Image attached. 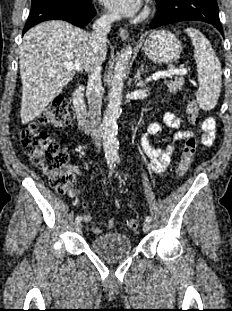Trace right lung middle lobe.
Listing matches in <instances>:
<instances>
[{"label":"right lung middle lobe","instance_id":"dd1d6c3e","mask_svg":"<svg viewBox=\"0 0 232 311\" xmlns=\"http://www.w3.org/2000/svg\"><path fill=\"white\" fill-rule=\"evenodd\" d=\"M37 1H40V0H32V3L37 2ZM70 1H74V2L79 3L81 5H87V4L91 3V0H70Z\"/></svg>","mask_w":232,"mask_h":311}]
</instances>
